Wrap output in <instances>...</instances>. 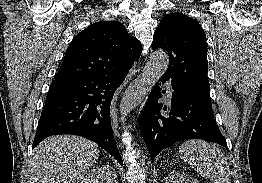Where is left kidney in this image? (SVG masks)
<instances>
[{
	"mask_svg": "<svg viewBox=\"0 0 262 183\" xmlns=\"http://www.w3.org/2000/svg\"><path fill=\"white\" fill-rule=\"evenodd\" d=\"M164 183H200L192 176L185 174L184 172H171L166 178Z\"/></svg>",
	"mask_w": 262,
	"mask_h": 183,
	"instance_id": "left-kidney-1",
	"label": "left kidney"
}]
</instances>
